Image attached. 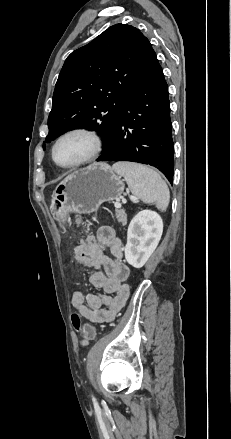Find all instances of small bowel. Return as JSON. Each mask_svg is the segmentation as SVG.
<instances>
[{
    "mask_svg": "<svg viewBox=\"0 0 231 439\" xmlns=\"http://www.w3.org/2000/svg\"><path fill=\"white\" fill-rule=\"evenodd\" d=\"M86 259L84 268L96 269L89 276L90 283L100 293L75 291L71 298L72 306L81 316L93 323H106L114 320L126 304L130 289L126 284L130 269L124 262V250L120 238L110 226H102L96 236H89L75 250V258ZM87 341L83 342L86 345Z\"/></svg>",
    "mask_w": 231,
    "mask_h": 439,
    "instance_id": "c3829d8e",
    "label": "small bowel"
}]
</instances>
